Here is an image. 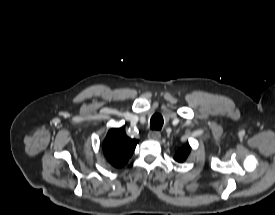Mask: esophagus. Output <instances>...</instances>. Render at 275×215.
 <instances>
[{
  "instance_id": "1",
  "label": "esophagus",
  "mask_w": 275,
  "mask_h": 215,
  "mask_svg": "<svg viewBox=\"0 0 275 215\" xmlns=\"http://www.w3.org/2000/svg\"><path fill=\"white\" fill-rule=\"evenodd\" d=\"M161 137V133L159 131H151L148 134V138L152 140H158Z\"/></svg>"
}]
</instances>
